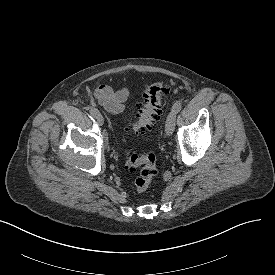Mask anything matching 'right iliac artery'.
I'll return each instance as SVG.
<instances>
[{
  "label": "right iliac artery",
  "instance_id": "1",
  "mask_svg": "<svg viewBox=\"0 0 275 275\" xmlns=\"http://www.w3.org/2000/svg\"><path fill=\"white\" fill-rule=\"evenodd\" d=\"M89 112H90V114H91L92 117H95L96 114H97V112H98V110L96 108L92 107V108H90Z\"/></svg>",
  "mask_w": 275,
  "mask_h": 275
}]
</instances>
